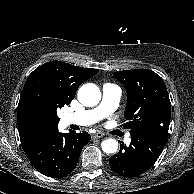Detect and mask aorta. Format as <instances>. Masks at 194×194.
I'll use <instances>...</instances> for the list:
<instances>
[{"label":"aorta","mask_w":194,"mask_h":194,"mask_svg":"<svg viewBox=\"0 0 194 194\" xmlns=\"http://www.w3.org/2000/svg\"><path fill=\"white\" fill-rule=\"evenodd\" d=\"M101 99V92L99 88L92 83L85 84L80 87L78 91V100L84 106L92 107L99 103ZM102 150L105 153L112 154L118 149V142L115 139H105L101 143Z\"/></svg>","instance_id":"762f6f07"}]
</instances>
